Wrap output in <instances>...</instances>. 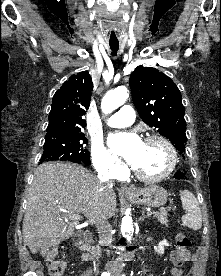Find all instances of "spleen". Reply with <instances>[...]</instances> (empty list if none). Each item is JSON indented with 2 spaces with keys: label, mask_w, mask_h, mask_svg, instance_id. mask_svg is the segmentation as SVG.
Here are the masks:
<instances>
[{
  "label": "spleen",
  "mask_w": 221,
  "mask_h": 276,
  "mask_svg": "<svg viewBox=\"0 0 221 276\" xmlns=\"http://www.w3.org/2000/svg\"><path fill=\"white\" fill-rule=\"evenodd\" d=\"M180 199L186 211L182 217L183 225L195 231L199 230L202 227V215L197 199L188 190H180Z\"/></svg>",
  "instance_id": "3e777b00"
}]
</instances>
